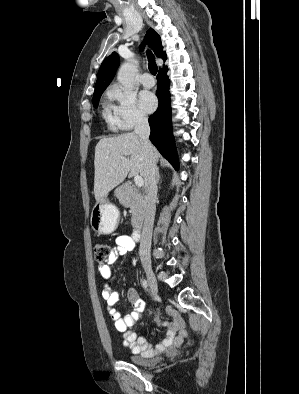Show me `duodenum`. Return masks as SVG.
I'll return each instance as SVG.
<instances>
[{
	"mask_svg": "<svg viewBox=\"0 0 299 394\" xmlns=\"http://www.w3.org/2000/svg\"><path fill=\"white\" fill-rule=\"evenodd\" d=\"M132 238H133V240H135V241L140 240V238H141V228H140V227H137V228L133 231V233H132Z\"/></svg>",
	"mask_w": 299,
	"mask_h": 394,
	"instance_id": "1",
	"label": "duodenum"
}]
</instances>
